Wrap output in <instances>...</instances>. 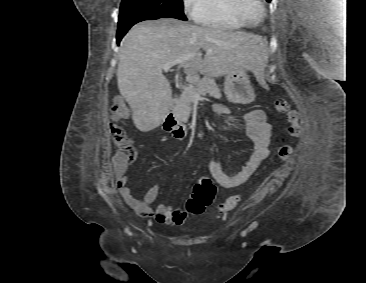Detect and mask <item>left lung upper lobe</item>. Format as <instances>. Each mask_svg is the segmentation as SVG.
I'll list each match as a JSON object with an SVG mask.
<instances>
[{
	"label": "left lung upper lobe",
	"mask_w": 366,
	"mask_h": 283,
	"mask_svg": "<svg viewBox=\"0 0 366 283\" xmlns=\"http://www.w3.org/2000/svg\"><path fill=\"white\" fill-rule=\"evenodd\" d=\"M267 2H271V0H266Z\"/></svg>",
	"instance_id": "left-lung-upper-lobe-1"
}]
</instances>
